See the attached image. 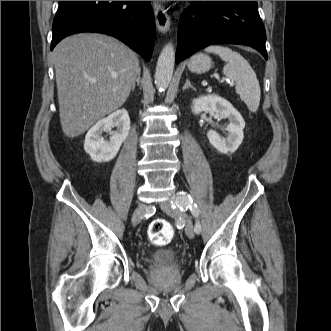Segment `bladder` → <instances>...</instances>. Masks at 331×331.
Masks as SVG:
<instances>
[{
  "mask_svg": "<svg viewBox=\"0 0 331 331\" xmlns=\"http://www.w3.org/2000/svg\"><path fill=\"white\" fill-rule=\"evenodd\" d=\"M152 259L160 265H169L177 259V254L171 249L157 250L152 254Z\"/></svg>",
  "mask_w": 331,
  "mask_h": 331,
  "instance_id": "31cf9c89",
  "label": "bladder"
}]
</instances>
